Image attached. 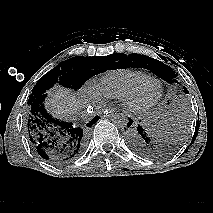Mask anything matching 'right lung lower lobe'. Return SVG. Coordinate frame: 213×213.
Wrapping results in <instances>:
<instances>
[{
	"instance_id": "98d812e1",
	"label": "right lung lower lobe",
	"mask_w": 213,
	"mask_h": 213,
	"mask_svg": "<svg viewBox=\"0 0 213 213\" xmlns=\"http://www.w3.org/2000/svg\"><path fill=\"white\" fill-rule=\"evenodd\" d=\"M45 97L44 93L29 104L26 125L31 145L48 162L69 163L84 151L89 129L99 117L83 127L53 118L45 109Z\"/></svg>"
}]
</instances>
